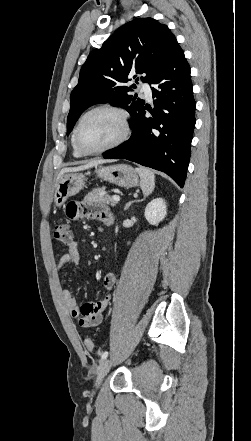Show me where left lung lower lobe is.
<instances>
[{"mask_svg":"<svg viewBox=\"0 0 251 441\" xmlns=\"http://www.w3.org/2000/svg\"><path fill=\"white\" fill-rule=\"evenodd\" d=\"M149 84L154 110L143 105L130 122L131 137L111 149L105 159H127L168 174L184 186L195 127L196 102L193 97L190 67L177 44L163 67ZM146 110L152 116L146 117Z\"/></svg>","mask_w":251,"mask_h":441,"instance_id":"0a47b994","label":"left lung lower lobe"}]
</instances>
